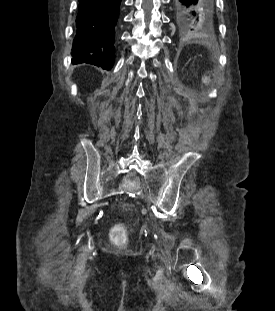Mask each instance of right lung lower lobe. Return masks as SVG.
<instances>
[{
	"label": "right lung lower lobe",
	"instance_id": "1",
	"mask_svg": "<svg viewBox=\"0 0 275 311\" xmlns=\"http://www.w3.org/2000/svg\"><path fill=\"white\" fill-rule=\"evenodd\" d=\"M77 33L72 62L111 69L114 63L115 27L121 0H79Z\"/></svg>",
	"mask_w": 275,
	"mask_h": 311
}]
</instances>
